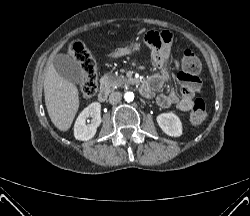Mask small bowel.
I'll return each mask as SVG.
<instances>
[{"label":"small bowel","instance_id":"small-bowel-1","mask_svg":"<svg viewBox=\"0 0 250 216\" xmlns=\"http://www.w3.org/2000/svg\"><path fill=\"white\" fill-rule=\"evenodd\" d=\"M145 42L153 49L154 64L159 69L145 81L150 91L148 97H150L170 80L168 49L172 42V35L169 32H149L145 36ZM176 78L181 84L180 96L170 90L167 94L157 96V104L162 108L175 107L179 111H189L193 108L194 96L201 90L200 80L197 76H185L182 71L177 72Z\"/></svg>","mask_w":250,"mask_h":216}]
</instances>
